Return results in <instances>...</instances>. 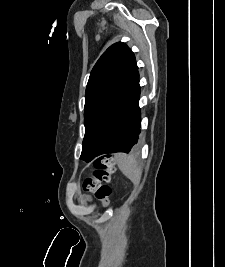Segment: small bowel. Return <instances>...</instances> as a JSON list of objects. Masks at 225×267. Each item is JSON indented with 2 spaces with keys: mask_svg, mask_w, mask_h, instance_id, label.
Wrapping results in <instances>:
<instances>
[{
  "mask_svg": "<svg viewBox=\"0 0 225 267\" xmlns=\"http://www.w3.org/2000/svg\"><path fill=\"white\" fill-rule=\"evenodd\" d=\"M89 201H90V196H89V195H83V196L81 197V203H82L83 205H86Z\"/></svg>",
  "mask_w": 225,
  "mask_h": 267,
  "instance_id": "c3829d8e",
  "label": "small bowel"
}]
</instances>
